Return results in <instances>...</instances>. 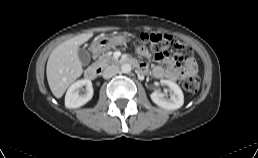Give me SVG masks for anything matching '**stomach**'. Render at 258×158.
<instances>
[{"instance_id":"0dacf381","label":"stomach","mask_w":258,"mask_h":158,"mask_svg":"<svg viewBox=\"0 0 258 158\" xmlns=\"http://www.w3.org/2000/svg\"><path fill=\"white\" fill-rule=\"evenodd\" d=\"M128 41L127 37L122 35H113L109 37L97 38L91 48L94 53L99 54L105 52L115 45H122Z\"/></svg>"}]
</instances>
